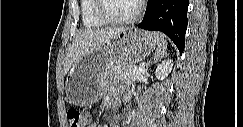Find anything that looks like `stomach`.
Returning <instances> with one entry per match:
<instances>
[{"label":"stomach","mask_w":243,"mask_h":127,"mask_svg":"<svg viewBox=\"0 0 243 127\" xmlns=\"http://www.w3.org/2000/svg\"><path fill=\"white\" fill-rule=\"evenodd\" d=\"M154 33L127 28L100 49L71 66L65 80L68 101L77 106L97 102L112 79V71L146 58L154 49Z\"/></svg>","instance_id":"stomach-1"}]
</instances>
